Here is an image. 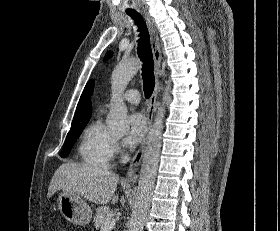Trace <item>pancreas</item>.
<instances>
[{
  "instance_id": "pancreas-1",
  "label": "pancreas",
  "mask_w": 280,
  "mask_h": 231,
  "mask_svg": "<svg viewBox=\"0 0 280 231\" xmlns=\"http://www.w3.org/2000/svg\"><path fill=\"white\" fill-rule=\"evenodd\" d=\"M112 215H115V213L109 209L108 205L97 207L96 213L93 217L96 229H101V225L104 223L105 219H112Z\"/></svg>"
}]
</instances>
